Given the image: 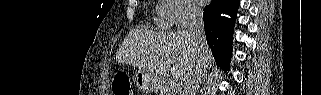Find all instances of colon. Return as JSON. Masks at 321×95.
Returning <instances> with one entry per match:
<instances>
[{
	"label": "colon",
	"instance_id": "obj_1",
	"mask_svg": "<svg viewBox=\"0 0 321 95\" xmlns=\"http://www.w3.org/2000/svg\"><path fill=\"white\" fill-rule=\"evenodd\" d=\"M113 92L116 95H133L129 77L116 75L113 81Z\"/></svg>",
	"mask_w": 321,
	"mask_h": 95
}]
</instances>
